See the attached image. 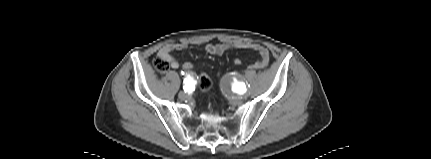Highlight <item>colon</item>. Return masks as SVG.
<instances>
[{
  "instance_id": "obj_1",
  "label": "colon",
  "mask_w": 431,
  "mask_h": 159,
  "mask_svg": "<svg viewBox=\"0 0 431 159\" xmlns=\"http://www.w3.org/2000/svg\"><path fill=\"white\" fill-rule=\"evenodd\" d=\"M241 63H242L241 58H234V65L239 66L241 65ZM154 67L158 72L164 73L168 70V63L164 59L157 57L154 61ZM196 68H197V63L195 61H186L183 64V71L185 73H190L191 71H194ZM199 87L204 92H208L212 88V80L208 75L202 74L200 76Z\"/></svg>"
}]
</instances>
